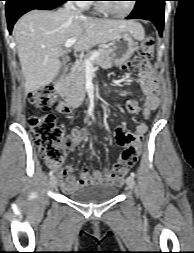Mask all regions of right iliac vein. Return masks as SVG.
<instances>
[{"instance_id": "right-iliac-vein-1", "label": "right iliac vein", "mask_w": 194, "mask_h": 253, "mask_svg": "<svg viewBox=\"0 0 194 253\" xmlns=\"http://www.w3.org/2000/svg\"><path fill=\"white\" fill-rule=\"evenodd\" d=\"M50 184L53 188H55L57 186V178L55 176H51Z\"/></svg>"}]
</instances>
